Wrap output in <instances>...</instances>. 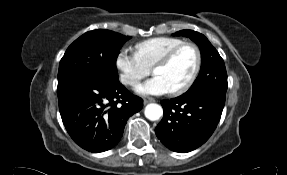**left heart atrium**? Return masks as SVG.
Wrapping results in <instances>:
<instances>
[{"label": "left heart atrium", "instance_id": "obj_1", "mask_svg": "<svg viewBox=\"0 0 287 175\" xmlns=\"http://www.w3.org/2000/svg\"><path fill=\"white\" fill-rule=\"evenodd\" d=\"M136 91L144 95H162L170 90L164 80L159 76H154L150 80L136 87Z\"/></svg>", "mask_w": 287, "mask_h": 175}]
</instances>
